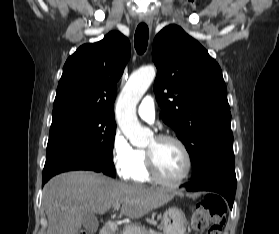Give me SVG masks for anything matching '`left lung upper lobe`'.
<instances>
[{"instance_id": "5c2ea615", "label": "left lung upper lobe", "mask_w": 279, "mask_h": 234, "mask_svg": "<svg viewBox=\"0 0 279 234\" xmlns=\"http://www.w3.org/2000/svg\"><path fill=\"white\" fill-rule=\"evenodd\" d=\"M152 56L160 117L185 144L192 178L219 166L233 167L231 113L219 64L177 25L156 35Z\"/></svg>"}]
</instances>
